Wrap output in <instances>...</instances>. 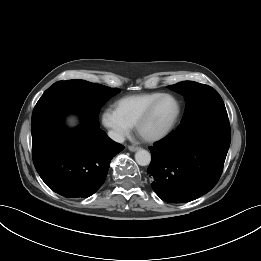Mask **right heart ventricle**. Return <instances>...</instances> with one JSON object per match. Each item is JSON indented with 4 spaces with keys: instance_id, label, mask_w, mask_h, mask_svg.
Segmentation results:
<instances>
[{
    "instance_id": "1",
    "label": "right heart ventricle",
    "mask_w": 261,
    "mask_h": 261,
    "mask_svg": "<svg viewBox=\"0 0 261 261\" xmlns=\"http://www.w3.org/2000/svg\"><path fill=\"white\" fill-rule=\"evenodd\" d=\"M161 94L160 92H149L128 95L118 99L114 103V109L133 127L151 102Z\"/></svg>"
}]
</instances>
